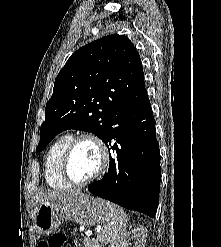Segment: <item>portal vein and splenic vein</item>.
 <instances>
[{"instance_id":"portal-vein-and-splenic-vein-1","label":"portal vein and splenic vein","mask_w":221,"mask_h":247,"mask_svg":"<svg viewBox=\"0 0 221 247\" xmlns=\"http://www.w3.org/2000/svg\"><path fill=\"white\" fill-rule=\"evenodd\" d=\"M86 235H87V236H91V235H92V231H87V232H86Z\"/></svg>"}]
</instances>
